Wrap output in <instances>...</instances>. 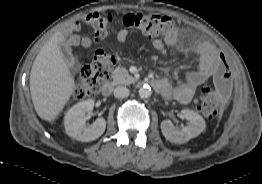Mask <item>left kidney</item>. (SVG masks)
Masks as SVG:
<instances>
[{
    "label": "left kidney",
    "mask_w": 262,
    "mask_h": 184,
    "mask_svg": "<svg viewBox=\"0 0 262 184\" xmlns=\"http://www.w3.org/2000/svg\"><path fill=\"white\" fill-rule=\"evenodd\" d=\"M181 117L189 121L188 126L178 130L170 120L161 122V131L164 137L172 143H186L191 138L197 137L205 128V120L197 112L190 109L181 110Z\"/></svg>",
    "instance_id": "5707ae66"
}]
</instances>
